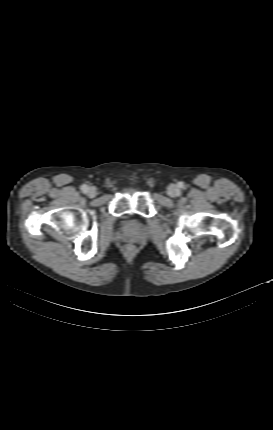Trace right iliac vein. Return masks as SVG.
Listing matches in <instances>:
<instances>
[{"label": "right iliac vein", "instance_id": "1", "mask_svg": "<svg viewBox=\"0 0 273 430\" xmlns=\"http://www.w3.org/2000/svg\"><path fill=\"white\" fill-rule=\"evenodd\" d=\"M96 194H97V190L95 187H89L88 188V191H87L88 197L93 198L96 196Z\"/></svg>", "mask_w": 273, "mask_h": 430}]
</instances>
